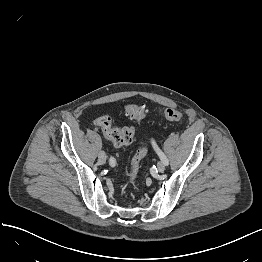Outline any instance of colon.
<instances>
[{"label":"colon","instance_id":"colon-1","mask_svg":"<svg viewBox=\"0 0 262 262\" xmlns=\"http://www.w3.org/2000/svg\"><path fill=\"white\" fill-rule=\"evenodd\" d=\"M125 111L134 120H142L148 114V111L143 106L136 104L126 105ZM160 115L163 118L171 121L179 122L183 120V114L175 108L167 107L160 111ZM97 124L115 147H121L123 145L129 144L135 136V128L133 126L113 128L112 121L107 116L101 117L98 120ZM151 144L153 145V141H151ZM148 150L149 145L145 144L134 156L129 174L130 186H133L135 184L140 164L148 153Z\"/></svg>","mask_w":262,"mask_h":262}]
</instances>
